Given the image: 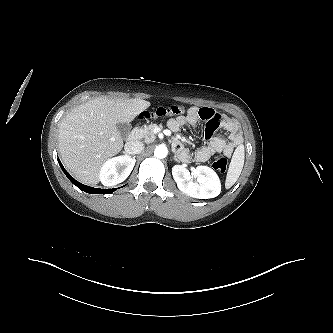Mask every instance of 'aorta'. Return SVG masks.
<instances>
[{
	"mask_svg": "<svg viewBox=\"0 0 333 333\" xmlns=\"http://www.w3.org/2000/svg\"><path fill=\"white\" fill-rule=\"evenodd\" d=\"M168 149L165 145H158L155 148L154 155L159 159H163L167 156Z\"/></svg>",
	"mask_w": 333,
	"mask_h": 333,
	"instance_id": "obj_1",
	"label": "aorta"
}]
</instances>
